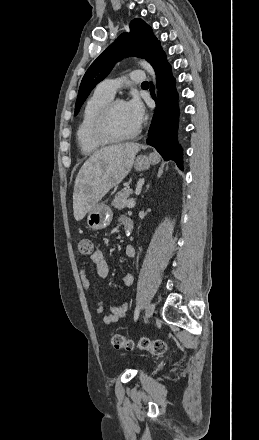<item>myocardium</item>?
<instances>
[{
    "label": "myocardium",
    "instance_id": "obj_1",
    "mask_svg": "<svg viewBox=\"0 0 259 440\" xmlns=\"http://www.w3.org/2000/svg\"><path fill=\"white\" fill-rule=\"evenodd\" d=\"M120 102L123 101L121 99H111L97 113L90 128L93 139L105 144L120 143L134 139L140 133L141 128L139 126L126 135H117L113 132L111 127L112 113L116 104Z\"/></svg>",
    "mask_w": 259,
    "mask_h": 440
}]
</instances>
